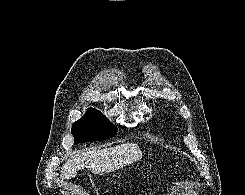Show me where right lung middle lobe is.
<instances>
[{"mask_svg": "<svg viewBox=\"0 0 245 195\" xmlns=\"http://www.w3.org/2000/svg\"><path fill=\"white\" fill-rule=\"evenodd\" d=\"M117 127L99 111L89 108L87 113L72 125L74 144L105 140L117 133Z\"/></svg>", "mask_w": 245, "mask_h": 195, "instance_id": "right-lung-middle-lobe-1", "label": "right lung middle lobe"}]
</instances>
